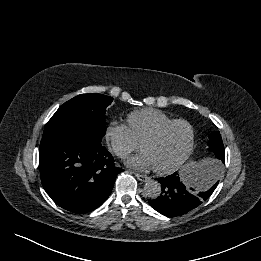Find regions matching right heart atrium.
<instances>
[{
  "instance_id": "d8ad5b80",
  "label": "right heart atrium",
  "mask_w": 261,
  "mask_h": 261,
  "mask_svg": "<svg viewBox=\"0 0 261 261\" xmlns=\"http://www.w3.org/2000/svg\"><path fill=\"white\" fill-rule=\"evenodd\" d=\"M104 136L110 150L119 158H126L140 146V143L125 124L109 123Z\"/></svg>"
}]
</instances>
